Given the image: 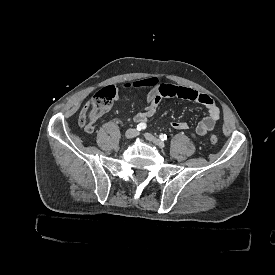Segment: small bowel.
Listing matches in <instances>:
<instances>
[{
    "instance_id": "c3829d8e",
    "label": "small bowel",
    "mask_w": 275,
    "mask_h": 275,
    "mask_svg": "<svg viewBox=\"0 0 275 275\" xmlns=\"http://www.w3.org/2000/svg\"><path fill=\"white\" fill-rule=\"evenodd\" d=\"M135 88L148 89L146 95V105L143 111L134 116V121L138 124H145L155 114L159 102L165 97H177L201 103L207 110V115L194 127L193 132L197 136H204L214 129L220 118V109L212 97L205 93L197 92L184 86L163 84L157 77H150L130 85ZM92 100L87 101L84 106H91ZM104 113V112H103ZM102 113V114H103ZM171 128L176 131H189L191 125L185 121H173Z\"/></svg>"
}]
</instances>
